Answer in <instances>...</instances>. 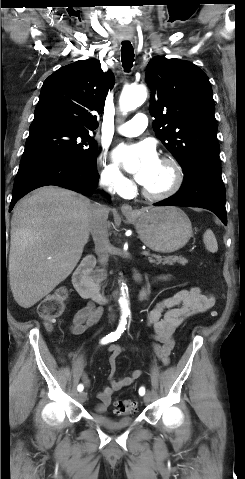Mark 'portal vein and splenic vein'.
I'll use <instances>...</instances> for the list:
<instances>
[{"label": "portal vein and splenic vein", "mask_w": 245, "mask_h": 479, "mask_svg": "<svg viewBox=\"0 0 245 479\" xmlns=\"http://www.w3.org/2000/svg\"><path fill=\"white\" fill-rule=\"evenodd\" d=\"M142 254H143L144 256H150V253H149L148 251H144V252H142Z\"/></svg>", "instance_id": "obj_1"}]
</instances>
